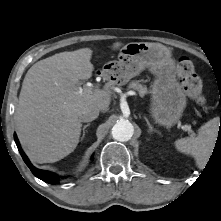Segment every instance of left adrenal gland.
I'll use <instances>...</instances> for the list:
<instances>
[{
    "mask_svg": "<svg viewBox=\"0 0 221 221\" xmlns=\"http://www.w3.org/2000/svg\"><path fill=\"white\" fill-rule=\"evenodd\" d=\"M144 119H145V121H146V123H147V125L149 127V132L150 133L156 132V133L160 134L158 130L153 128V126L150 124L149 120L146 117H144Z\"/></svg>",
    "mask_w": 221,
    "mask_h": 221,
    "instance_id": "obj_1",
    "label": "left adrenal gland"
}]
</instances>
